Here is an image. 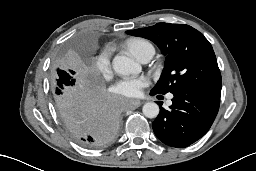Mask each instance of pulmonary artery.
I'll list each match as a JSON object with an SVG mask.
<instances>
[{
  "label": "pulmonary artery",
  "mask_w": 256,
  "mask_h": 171,
  "mask_svg": "<svg viewBox=\"0 0 256 171\" xmlns=\"http://www.w3.org/2000/svg\"><path fill=\"white\" fill-rule=\"evenodd\" d=\"M151 58H152V55L145 56L144 58L141 59V62L147 63Z\"/></svg>",
  "instance_id": "pulmonary-artery-1"
}]
</instances>
